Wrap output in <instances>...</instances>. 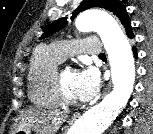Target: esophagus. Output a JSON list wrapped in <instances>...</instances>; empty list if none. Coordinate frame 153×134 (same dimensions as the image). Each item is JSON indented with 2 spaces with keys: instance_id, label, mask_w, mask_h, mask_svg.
<instances>
[{
  "instance_id": "1",
  "label": "esophagus",
  "mask_w": 153,
  "mask_h": 134,
  "mask_svg": "<svg viewBox=\"0 0 153 134\" xmlns=\"http://www.w3.org/2000/svg\"><path fill=\"white\" fill-rule=\"evenodd\" d=\"M110 87H111L110 85L107 86L106 92H108L110 90Z\"/></svg>"
}]
</instances>
